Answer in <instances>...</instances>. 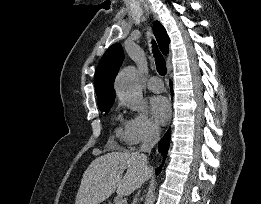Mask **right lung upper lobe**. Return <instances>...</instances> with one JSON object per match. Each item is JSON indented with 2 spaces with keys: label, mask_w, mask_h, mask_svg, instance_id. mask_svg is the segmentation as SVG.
Listing matches in <instances>:
<instances>
[{
  "label": "right lung upper lobe",
  "mask_w": 261,
  "mask_h": 204,
  "mask_svg": "<svg viewBox=\"0 0 261 204\" xmlns=\"http://www.w3.org/2000/svg\"><path fill=\"white\" fill-rule=\"evenodd\" d=\"M153 32L159 47L164 54L168 53L169 37L160 22L155 21ZM124 59V53L120 44H114L108 48L102 56L95 73V90L98 105L114 102V80Z\"/></svg>",
  "instance_id": "right-lung-upper-lobe-1"
}]
</instances>
